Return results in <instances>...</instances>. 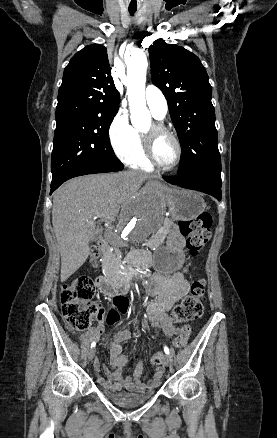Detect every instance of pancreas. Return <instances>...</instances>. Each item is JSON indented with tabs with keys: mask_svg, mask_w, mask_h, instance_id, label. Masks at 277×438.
Wrapping results in <instances>:
<instances>
[{
	"mask_svg": "<svg viewBox=\"0 0 277 438\" xmlns=\"http://www.w3.org/2000/svg\"><path fill=\"white\" fill-rule=\"evenodd\" d=\"M167 228H158L157 235H154L152 239L145 240L146 248H158L159 244L162 243L163 237H167ZM120 258L117 251H106L105 258L103 261L104 267H108L109 270H118Z\"/></svg>",
	"mask_w": 277,
	"mask_h": 438,
	"instance_id": "1",
	"label": "pancreas"
}]
</instances>
